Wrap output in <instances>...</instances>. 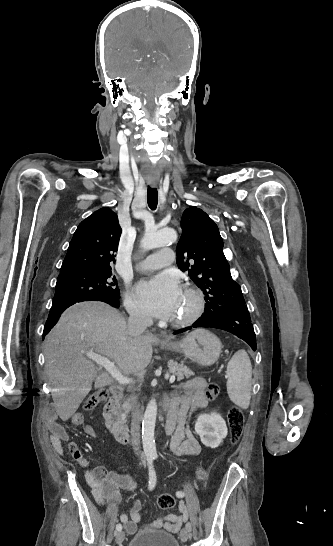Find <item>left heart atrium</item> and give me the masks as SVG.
Segmentation results:
<instances>
[{
  "label": "left heart atrium",
  "mask_w": 333,
  "mask_h": 546,
  "mask_svg": "<svg viewBox=\"0 0 333 546\" xmlns=\"http://www.w3.org/2000/svg\"><path fill=\"white\" fill-rule=\"evenodd\" d=\"M137 295L144 308L155 317H172L182 290L172 272H163L137 285Z\"/></svg>",
  "instance_id": "left-heart-atrium-1"
}]
</instances>
